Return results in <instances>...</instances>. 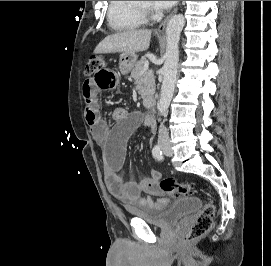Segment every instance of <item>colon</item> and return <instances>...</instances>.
Segmentation results:
<instances>
[{
	"mask_svg": "<svg viewBox=\"0 0 271 266\" xmlns=\"http://www.w3.org/2000/svg\"><path fill=\"white\" fill-rule=\"evenodd\" d=\"M108 64V61L103 56H93L86 67L88 74H92L95 70ZM158 188L169 195L179 197L192 194L194 188L190 183H178L172 178H162L157 182ZM215 215V206L213 203H207L203 210L198 215L194 224L185 233L186 241H194L208 233L213 226Z\"/></svg>",
	"mask_w": 271,
	"mask_h": 266,
	"instance_id": "colon-1",
	"label": "colon"
}]
</instances>
